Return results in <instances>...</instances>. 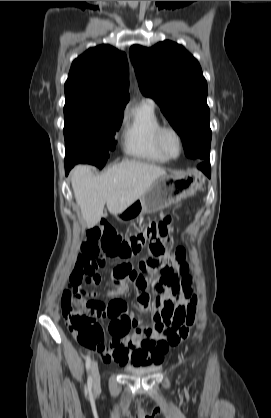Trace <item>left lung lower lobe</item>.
<instances>
[{
    "label": "left lung lower lobe",
    "instance_id": "1",
    "mask_svg": "<svg viewBox=\"0 0 271 418\" xmlns=\"http://www.w3.org/2000/svg\"><path fill=\"white\" fill-rule=\"evenodd\" d=\"M199 169H201L205 174L210 176V163L209 159H206L204 163L200 164L198 166Z\"/></svg>",
    "mask_w": 271,
    "mask_h": 418
}]
</instances>
